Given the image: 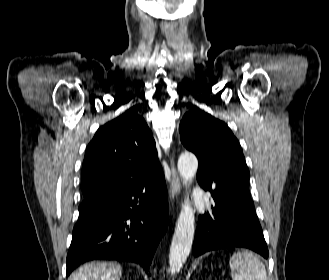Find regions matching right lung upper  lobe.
Segmentation results:
<instances>
[{"label": "right lung upper lobe", "mask_w": 329, "mask_h": 280, "mask_svg": "<svg viewBox=\"0 0 329 280\" xmlns=\"http://www.w3.org/2000/svg\"><path fill=\"white\" fill-rule=\"evenodd\" d=\"M152 133L137 112L126 113L101 126L86 148L82 193L118 183H135L162 173Z\"/></svg>", "instance_id": "1"}]
</instances>
